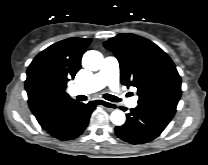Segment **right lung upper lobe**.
Here are the masks:
<instances>
[{
	"mask_svg": "<svg viewBox=\"0 0 208 165\" xmlns=\"http://www.w3.org/2000/svg\"><path fill=\"white\" fill-rule=\"evenodd\" d=\"M90 42L88 38L62 40L40 52L29 65L25 89L29 107L39 123L76 101L65 88L79 71Z\"/></svg>",
	"mask_w": 208,
	"mask_h": 165,
	"instance_id": "cb5924a9",
	"label": "right lung upper lobe"
}]
</instances>
